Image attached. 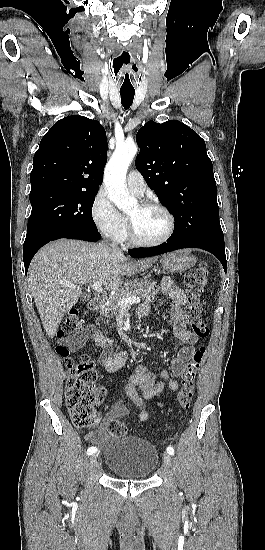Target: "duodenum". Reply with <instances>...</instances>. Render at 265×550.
Returning <instances> with one entry per match:
<instances>
[{
  "mask_svg": "<svg viewBox=\"0 0 265 550\" xmlns=\"http://www.w3.org/2000/svg\"><path fill=\"white\" fill-rule=\"evenodd\" d=\"M103 302L104 301L102 297L95 296L89 301L88 307L91 311L96 312L102 308Z\"/></svg>",
  "mask_w": 265,
  "mask_h": 550,
  "instance_id": "obj_1",
  "label": "duodenum"
}]
</instances>
